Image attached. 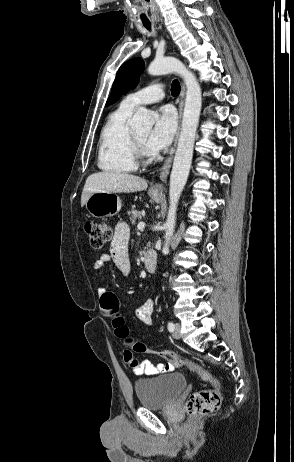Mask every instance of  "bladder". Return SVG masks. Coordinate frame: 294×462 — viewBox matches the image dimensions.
<instances>
[{"label": "bladder", "mask_w": 294, "mask_h": 462, "mask_svg": "<svg viewBox=\"0 0 294 462\" xmlns=\"http://www.w3.org/2000/svg\"><path fill=\"white\" fill-rule=\"evenodd\" d=\"M139 403L147 409H160L171 405L187 387V379L179 373H164L135 382Z\"/></svg>", "instance_id": "obj_1"}]
</instances>
